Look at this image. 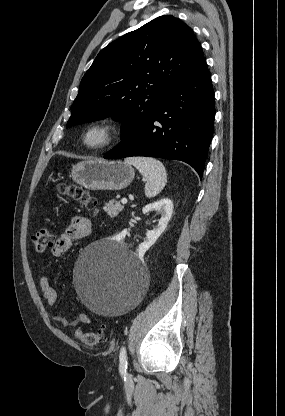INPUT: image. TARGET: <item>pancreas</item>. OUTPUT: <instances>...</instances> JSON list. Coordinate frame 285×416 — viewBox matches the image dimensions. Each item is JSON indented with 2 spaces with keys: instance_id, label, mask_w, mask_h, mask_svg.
<instances>
[{
  "instance_id": "1",
  "label": "pancreas",
  "mask_w": 285,
  "mask_h": 416,
  "mask_svg": "<svg viewBox=\"0 0 285 416\" xmlns=\"http://www.w3.org/2000/svg\"><path fill=\"white\" fill-rule=\"evenodd\" d=\"M123 208L124 206H121L119 202H115V200H110L108 204H105L103 210L104 212H107L110 218H115V216H118V214L122 212Z\"/></svg>"
}]
</instances>
